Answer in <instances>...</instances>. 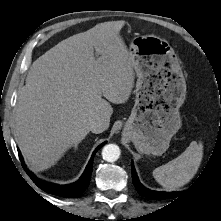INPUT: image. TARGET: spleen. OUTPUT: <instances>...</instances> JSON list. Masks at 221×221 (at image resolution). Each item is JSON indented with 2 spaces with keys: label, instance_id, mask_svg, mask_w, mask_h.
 I'll list each match as a JSON object with an SVG mask.
<instances>
[{
  "label": "spleen",
  "instance_id": "1",
  "mask_svg": "<svg viewBox=\"0 0 221 221\" xmlns=\"http://www.w3.org/2000/svg\"><path fill=\"white\" fill-rule=\"evenodd\" d=\"M203 158V145L192 141L177 158L153 170L155 180L168 191L187 184L197 173Z\"/></svg>",
  "mask_w": 221,
  "mask_h": 221
}]
</instances>
